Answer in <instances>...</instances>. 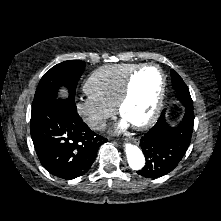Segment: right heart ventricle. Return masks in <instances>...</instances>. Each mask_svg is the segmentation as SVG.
Segmentation results:
<instances>
[{
  "mask_svg": "<svg viewBox=\"0 0 221 221\" xmlns=\"http://www.w3.org/2000/svg\"><path fill=\"white\" fill-rule=\"evenodd\" d=\"M139 66V64H114L100 67L87 78L84 91L87 96L114 108L127 77Z\"/></svg>",
  "mask_w": 221,
  "mask_h": 221,
  "instance_id": "obj_1",
  "label": "right heart ventricle"
}]
</instances>
